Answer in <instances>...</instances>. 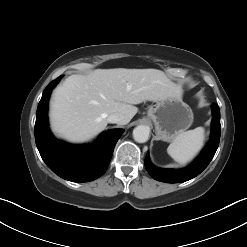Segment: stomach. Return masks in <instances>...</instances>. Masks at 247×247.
<instances>
[{
    "label": "stomach",
    "instance_id": "0dacf381",
    "mask_svg": "<svg viewBox=\"0 0 247 247\" xmlns=\"http://www.w3.org/2000/svg\"><path fill=\"white\" fill-rule=\"evenodd\" d=\"M147 118L153 122L158 139L170 142L191 126L193 112L182 101L180 92L157 101L149 108Z\"/></svg>",
    "mask_w": 247,
    "mask_h": 247
}]
</instances>
